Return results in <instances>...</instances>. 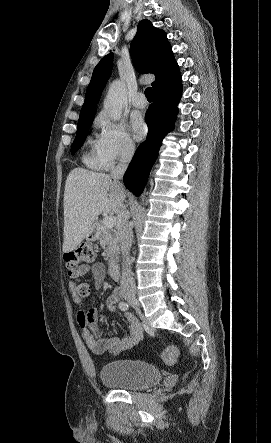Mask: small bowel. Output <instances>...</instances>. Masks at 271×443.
<instances>
[{
	"label": "small bowel",
	"instance_id": "obj_1",
	"mask_svg": "<svg viewBox=\"0 0 271 443\" xmlns=\"http://www.w3.org/2000/svg\"><path fill=\"white\" fill-rule=\"evenodd\" d=\"M77 272L79 276L91 273L96 289L101 287L105 280V268L101 263L81 265ZM69 290L73 294L75 302L80 303L82 296L78 293V287L74 282H69ZM119 297L120 292L114 290L106 300L107 307L114 310ZM124 318L129 328L127 336H103L98 327V315L94 309H89L86 312L79 311L77 314V321L83 330L86 344L93 353L98 355L107 353L119 354L133 348L140 342L141 330L137 318L129 312L125 313Z\"/></svg>",
	"mask_w": 271,
	"mask_h": 443
}]
</instances>
